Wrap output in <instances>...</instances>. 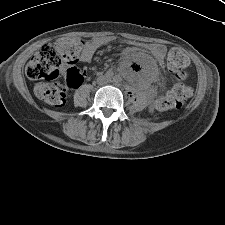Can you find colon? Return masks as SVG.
I'll return each mask as SVG.
<instances>
[{
	"instance_id": "colon-1",
	"label": "colon",
	"mask_w": 225,
	"mask_h": 225,
	"mask_svg": "<svg viewBox=\"0 0 225 225\" xmlns=\"http://www.w3.org/2000/svg\"><path fill=\"white\" fill-rule=\"evenodd\" d=\"M82 48V39L78 37H61L54 43L44 44L28 62L26 75L30 80L40 81L34 87L35 95L52 107L65 104L68 86L78 87L84 81V74L74 64L78 61ZM189 60L178 49L169 52L167 68L176 74L178 82L171 90L159 96L155 102L160 111L178 109L190 97L191 90L184 84L185 68ZM65 71L66 82L55 81L60 71Z\"/></svg>"
}]
</instances>
